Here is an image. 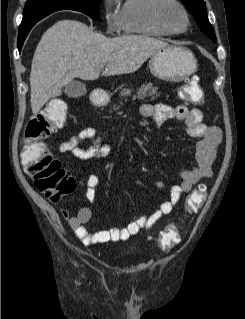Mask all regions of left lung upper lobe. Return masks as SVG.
Returning <instances> with one entry per match:
<instances>
[{
  "instance_id": "1",
  "label": "left lung upper lobe",
  "mask_w": 245,
  "mask_h": 319,
  "mask_svg": "<svg viewBox=\"0 0 245 319\" xmlns=\"http://www.w3.org/2000/svg\"><path fill=\"white\" fill-rule=\"evenodd\" d=\"M182 2L191 11L200 29L215 42L216 36L206 14L205 2L203 0H182Z\"/></svg>"
}]
</instances>
